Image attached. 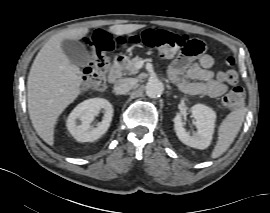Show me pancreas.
<instances>
[{"label": "pancreas", "instance_id": "cf45deb5", "mask_svg": "<svg viewBox=\"0 0 270 213\" xmlns=\"http://www.w3.org/2000/svg\"><path fill=\"white\" fill-rule=\"evenodd\" d=\"M142 58L140 57H134L131 60H127L122 63L120 69L129 75H134L138 73V68L136 67L138 62H141Z\"/></svg>", "mask_w": 270, "mask_h": 213}]
</instances>
